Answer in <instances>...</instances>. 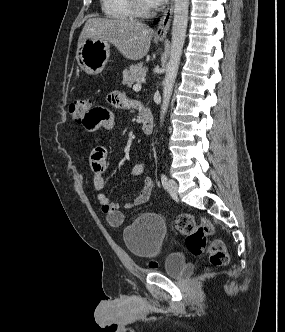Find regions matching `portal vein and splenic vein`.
Returning a JSON list of instances; mask_svg holds the SVG:
<instances>
[{
	"instance_id": "18ae733b",
	"label": "portal vein and splenic vein",
	"mask_w": 285,
	"mask_h": 332,
	"mask_svg": "<svg viewBox=\"0 0 285 332\" xmlns=\"http://www.w3.org/2000/svg\"><path fill=\"white\" fill-rule=\"evenodd\" d=\"M133 90H134V91H139V90H141V85H140L139 83L135 84V85L133 86Z\"/></svg>"
}]
</instances>
